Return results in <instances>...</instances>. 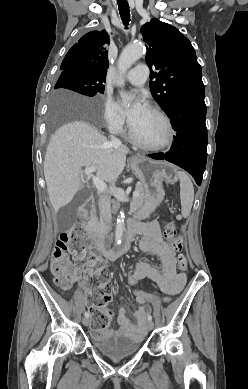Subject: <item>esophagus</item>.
I'll return each instance as SVG.
<instances>
[{
    "label": "esophagus",
    "instance_id": "1",
    "mask_svg": "<svg viewBox=\"0 0 248 389\" xmlns=\"http://www.w3.org/2000/svg\"><path fill=\"white\" fill-rule=\"evenodd\" d=\"M131 159H132V160H138V156L133 155V156L131 157Z\"/></svg>",
    "mask_w": 248,
    "mask_h": 389
}]
</instances>
